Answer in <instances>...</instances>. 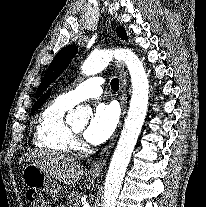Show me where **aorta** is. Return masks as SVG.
<instances>
[{
    "instance_id": "aorta-1",
    "label": "aorta",
    "mask_w": 206,
    "mask_h": 207,
    "mask_svg": "<svg viewBox=\"0 0 206 207\" xmlns=\"http://www.w3.org/2000/svg\"><path fill=\"white\" fill-rule=\"evenodd\" d=\"M113 57L122 60L129 70L132 96L127 117L106 175L103 207H115L127 166L145 120L149 100V82L145 69L138 56L131 50L94 52L82 64V73L94 75L101 72L108 66ZM87 118L88 111L83 106H78L69 113L67 121H84Z\"/></svg>"
}]
</instances>
